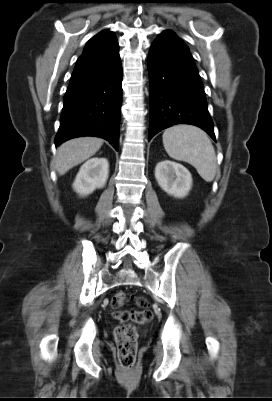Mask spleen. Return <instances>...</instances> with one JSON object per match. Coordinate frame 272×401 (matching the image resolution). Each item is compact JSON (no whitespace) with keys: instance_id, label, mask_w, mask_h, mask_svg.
Listing matches in <instances>:
<instances>
[{"instance_id":"3e777b00","label":"spleen","mask_w":272,"mask_h":401,"mask_svg":"<svg viewBox=\"0 0 272 401\" xmlns=\"http://www.w3.org/2000/svg\"><path fill=\"white\" fill-rule=\"evenodd\" d=\"M162 138L171 158L191 164L206 182L214 180L217 159L214 147L203 130L190 125H176L166 129Z\"/></svg>"}]
</instances>
